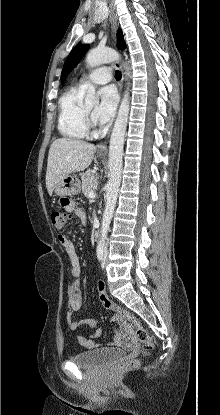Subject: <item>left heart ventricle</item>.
I'll list each match as a JSON object with an SVG mask.
<instances>
[{"label":"left heart ventricle","instance_id":"1","mask_svg":"<svg viewBox=\"0 0 220 415\" xmlns=\"http://www.w3.org/2000/svg\"><path fill=\"white\" fill-rule=\"evenodd\" d=\"M86 110H87L89 113H93V111L95 110V107H94V106H91V107H86Z\"/></svg>","mask_w":220,"mask_h":415}]
</instances>
